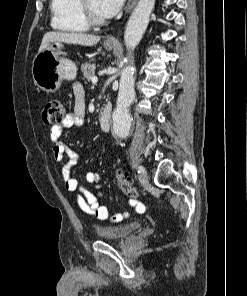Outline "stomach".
Instances as JSON below:
<instances>
[{"instance_id": "1", "label": "stomach", "mask_w": 247, "mask_h": 296, "mask_svg": "<svg viewBox=\"0 0 247 296\" xmlns=\"http://www.w3.org/2000/svg\"><path fill=\"white\" fill-rule=\"evenodd\" d=\"M107 50L114 45L104 42ZM63 45L59 42L51 43L46 49L38 52L32 64L34 84L43 91L55 92L64 79L73 80L77 74L76 64L65 58Z\"/></svg>"}]
</instances>
